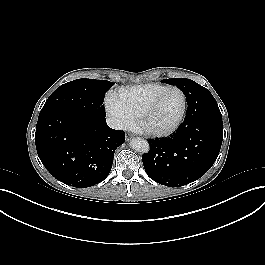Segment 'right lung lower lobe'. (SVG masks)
I'll use <instances>...</instances> for the list:
<instances>
[{
    "instance_id": "right-lung-lower-lobe-1",
    "label": "right lung lower lobe",
    "mask_w": 265,
    "mask_h": 265,
    "mask_svg": "<svg viewBox=\"0 0 265 265\" xmlns=\"http://www.w3.org/2000/svg\"><path fill=\"white\" fill-rule=\"evenodd\" d=\"M105 116L68 108L41 110L35 144L41 162L53 177L86 188L108 176L114 152L125 142V133L110 128Z\"/></svg>"
}]
</instances>
